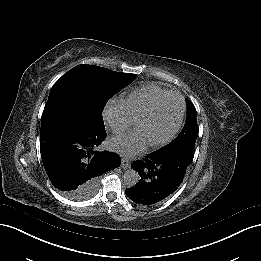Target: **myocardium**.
Returning a JSON list of instances; mask_svg holds the SVG:
<instances>
[{
	"label": "myocardium",
	"instance_id": "f54148a6",
	"mask_svg": "<svg viewBox=\"0 0 261 261\" xmlns=\"http://www.w3.org/2000/svg\"><path fill=\"white\" fill-rule=\"evenodd\" d=\"M172 104H176L179 108V114H178V119L176 124L174 125V127L170 130V132L165 135L164 137L155 140V141H146V140H142L141 141L147 145V146H159L162 145L164 143H166L167 141H169L171 138H173L175 136V134L179 131V129L182 126L183 120H184V115H185V102L183 100L182 97L180 96H172L170 99H168L167 101L153 107L152 109H150L149 111H147L146 113L142 114L141 116H139L134 122L133 125L130 129V134L135 135L136 131H137V127L139 125V123L146 117L148 116H152L155 115L161 111H164L166 108H168L169 106H171Z\"/></svg>",
	"mask_w": 261,
	"mask_h": 261
}]
</instances>
